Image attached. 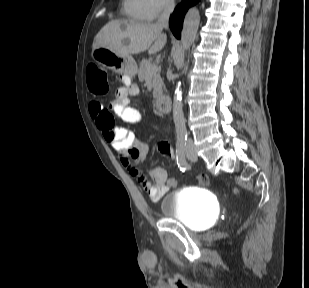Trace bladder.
I'll use <instances>...</instances> for the list:
<instances>
[{
	"mask_svg": "<svg viewBox=\"0 0 309 288\" xmlns=\"http://www.w3.org/2000/svg\"><path fill=\"white\" fill-rule=\"evenodd\" d=\"M216 208L213 196L207 190L194 186L167 192L160 202L162 218H175L193 230L209 227L215 221Z\"/></svg>",
	"mask_w": 309,
	"mask_h": 288,
	"instance_id": "bladder-1",
	"label": "bladder"
}]
</instances>
